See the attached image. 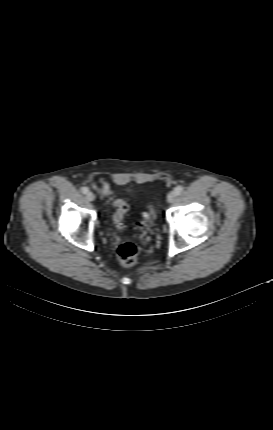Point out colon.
I'll return each mask as SVG.
<instances>
[{"instance_id": "obj_1", "label": "colon", "mask_w": 273, "mask_h": 430, "mask_svg": "<svg viewBox=\"0 0 273 430\" xmlns=\"http://www.w3.org/2000/svg\"><path fill=\"white\" fill-rule=\"evenodd\" d=\"M113 206L116 211L113 215V222L117 228L122 227V221L126 212L128 211V205L122 200H115ZM153 215V210L144 213L142 219L139 222V229H144L150 222ZM117 256L119 261L126 267H132L137 263L138 260V249L135 244L131 242H125L121 244L117 250Z\"/></svg>"}]
</instances>
